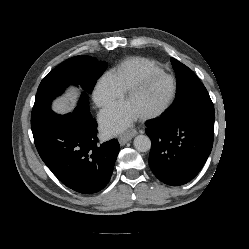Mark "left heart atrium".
Instances as JSON below:
<instances>
[{
  "instance_id": "1",
  "label": "left heart atrium",
  "mask_w": 249,
  "mask_h": 249,
  "mask_svg": "<svg viewBox=\"0 0 249 249\" xmlns=\"http://www.w3.org/2000/svg\"><path fill=\"white\" fill-rule=\"evenodd\" d=\"M137 117L125 103H119L101 114V122L107 133L116 134L130 126Z\"/></svg>"
}]
</instances>
